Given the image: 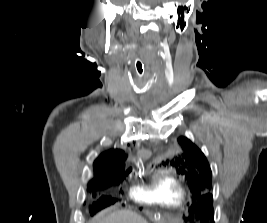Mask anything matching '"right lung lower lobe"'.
Here are the masks:
<instances>
[{
  "instance_id": "obj_1",
  "label": "right lung lower lobe",
  "mask_w": 267,
  "mask_h": 223,
  "mask_svg": "<svg viewBox=\"0 0 267 223\" xmlns=\"http://www.w3.org/2000/svg\"><path fill=\"white\" fill-rule=\"evenodd\" d=\"M111 186V185H110ZM109 186H99V185H96V184H93L92 182L89 183L88 185V190H98V189H103V188H107Z\"/></svg>"
}]
</instances>
